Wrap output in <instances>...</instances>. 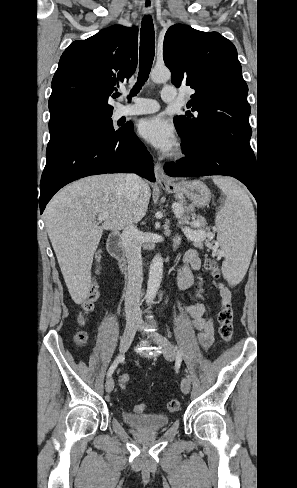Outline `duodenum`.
Segmentation results:
<instances>
[{
	"instance_id": "duodenum-1",
	"label": "duodenum",
	"mask_w": 297,
	"mask_h": 488,
	"mask_svg": "<svg viewBox=\"0 0 297 488\" xmlns=\"http://www.w3.org/2000/svg\"><path fill=\"white\" fill-rule=\"evenodd\" d=\"M108 250L110 254L117 260L118 265L122 271L128 272V262L125 257L123 247L121 245V235L118 232H113L110 234L107 243Z\"/></svg>"
}]
</instances>
